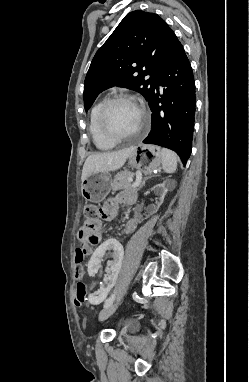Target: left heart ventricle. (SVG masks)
I'll use <instances>...</instances> for the list:
<instances>
[{"instance_id":"b2bd125f","label":"left heart ventricle","mask_w":249,"mask_h":382,"mask_svg":"<svg viewBox=\"0 0 249 382\" xmlns=\"http://www.w3.org/2000/svg\"><path fill=\"white\" fill-rule=\"evenodd\" d=\"M141 120L137 106L131 102H119L108 111L107 124L110 130L119 136L135 133Z\"/></svg>"}]
</instances>
